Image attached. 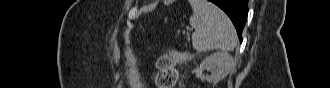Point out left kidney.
<instances>
[{
  "label": "left kidney",
  "mask_w": 330,
  "mask_h": 88,
  "mask_svg": "<svg viewBox=\"0 0 330 88\" xmlns=\"http://www.w3.org/2000/svg\"><path fill=\"white\" fill-rule=\"evenodd\" d=\"M234 67L233 57L227 52H215L209 55L197 70V76L209 83L216 84L224 79ZM210 71V75H203V71Z\"/></svg>",
  "instance_id": "5707ae66"
}]
</instances>
